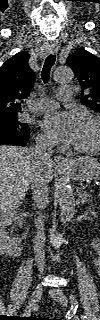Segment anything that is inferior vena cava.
Here are the masks:
<instances>
[{"label":"inferior vena cava","instance_id":"obj_1","mask_svg":"<svg viewBox=\"0 0 100 320\" xmlns=\"http://www.w3.org/2000/svg\"><path fill=\"white\" fill-rule=\"evenodd\" d=\"M32 156L36 161L35 171L31 177V189L32 199L35 206L42 210L48 203V175L47 166L51 163L52 146L51 142L45 138H37L35 147L30 149ZM35 226L37 229L36 236L34 238V252L35 261L40 274L44 272V245H45V233H44V221L42 217L35 219Z\"/></svg>","mask_w":100,"mask_h":320}]
</instances>
